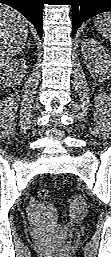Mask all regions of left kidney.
<instances>
[{"mask_svg": "<svg viewBox=\"0 0 111 257\" xmlns=\"http://www.w3.org/2000/svg\"><path fill=\"white\" fill-rule=\"evenodd\" d=\"M82 52L87 68L94 78L100 77L103 80L109 77L111 57L101 43L94 39H85L82 41Z\"/></svg>", "mask_w": 111, "mask_h": 257, "instance_id": "1", "label": "left kidney"}]
</instances>
